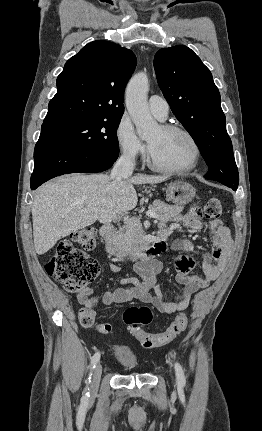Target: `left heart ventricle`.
<instances>
[{"mask_svg": "<svg viewBox=\"0 0 262 431\" xmlns=\"http://www.w3.org/2000/svg\"><path fill=\"white\" fill-rule=\"evenodd\" d=\"M154 160L167 167H183L192 158V145L189 139L178 132H165L160 127L147 137Z\"/></svg>", "mask_w": 262, "mask_h": 431, "instance_id": "obj_1", "label": "left heart ventricle"}]
</instances>
